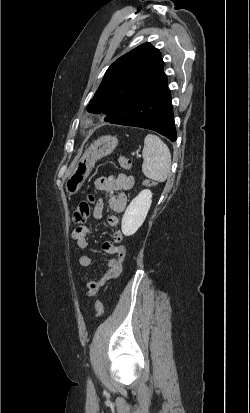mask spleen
Segmentation results:
<instances>
[{
  "instance_id": "1",
  "label": "spleen",
  "mask_w": 250,
  "mask_h": 413,
  "mask_svg": "<svg viewBox=\"0 0 250 413\" xmlns=\"http://www.w3.org/2000/svg\"><path fill=\"white\" fill-rule=\"evenodd\" d=\"M143 174L157 182H164L171 168V153L168 146L156 135L148 134L143 147Z\"/></svg>"
}]
</instances>
